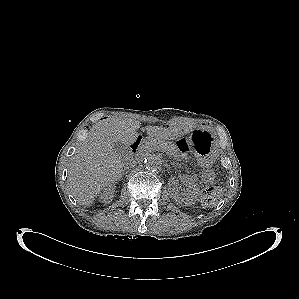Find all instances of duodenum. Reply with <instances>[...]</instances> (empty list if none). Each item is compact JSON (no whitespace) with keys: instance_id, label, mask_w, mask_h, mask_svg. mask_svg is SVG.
I'll return each mask as SVG.
<instances>
[{"instance_id":"1","label":"duodenum","mask_w":299,"mask_h":299,"mask_svg":"<svg viewBox=\"0 0 299 299\" xmlns=\"http://www.w3.org/2000/svg\"><path fill=\"white\" fill-rule=\"evenodd\" d=\"M143 141V136H138L130 145L132 152H136Z\"/></svg>"}]
</instances>
